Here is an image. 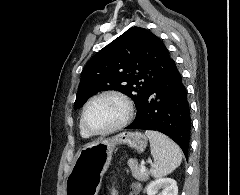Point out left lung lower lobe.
Returning <instances> with one entry per match:
<instances>
[{
  "label": "left lung lower lobe",
  "mask_w": 240,
  "mask_h": 195,
  "mask_svg": "<svg viewBox=\"0 0 240 195\" xmlns=\"http://www.w3.org/2000/svg\"><path fill=\"white\" fill-rule=\"evenodd\" d=\"M127 129L159 131L173 139L188 155L191 117L187 91L173 59L165 74L149 89L147 99Z\"/></svg>",
  "instance_id": "0a47b994"
}]
</instances>
